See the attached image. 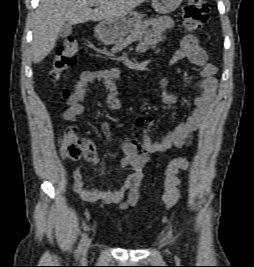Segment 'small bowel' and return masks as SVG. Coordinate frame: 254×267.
<instances>
[{"label":"small bowel","mask_w":254,"mask_h":267,"mask_svg":"<svg viewBox=\"0 0 254 267\" xmlns=\"http://www.w3.org/2000/svg\"><path fill=\"white\" fill-rule=\"evenodd\" d=\"M174 21L169 16H161L152 20L150 29L145 39L138 45L139 51H145L150 45L159 42L162 34L172 28ZM187 58L190 62L199 66L201 80L194 84L196 97L193 100V107L187 118L177 123L171 130L163 132L159 138L153 139L152 132L155 129V122L151 116H141L136 119L134 129L141 130V145H138L136 133L124 141L122 145L123 158L122 169H130V175L120 182L114 189L97 190L87 189L84 183V174L80 169L73 173L74 191L79 197L89 203L99 206L105 204L120 203L127 194L125 201L121 203L122 208L134 206L139 199V189L143 178V167L149 159L150 153H165L174 148H182L192 143L194 133L199 130L207 116L215 97L217 68L208 62V57L201 47L199 40L193 35L185 36L170 58L171 65ZM120 77L117 68L107 70L87 71L82 73L74 86V91L68 98V108L63 114L67 121L80 116L85 111L83 102L86 99L88 87L93 82H102L106 90V107L109 111L121 109L122 103L118 97L115 81ZM160 86L163 90L162 101L164 104L176 103L177 96L169 88L166 76L160 74ZM102 129L110 134L106 124L101 123ZM100 158L96 155L91 160L93 164L99 163Z\"/></svg>","instance_id":"obj_1"}]
</instances>
